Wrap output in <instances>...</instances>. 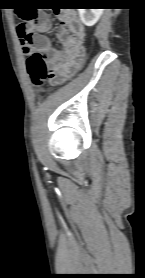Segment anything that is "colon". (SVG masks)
<instances>
[{"label":"colon","mask_w":145,"mask_h":278,"mask_svg":"<svg viewBox=\"0 0 145 278\" xmlns=\"http://www.w3.org/2000/svg\"><path fill=\"white\" fill-rule=\"evenodd\" d=\"M21 17L25 20H32L36 14L31 10H23ZM18 34L24 50L29 53L27 58V72L31 83L34 86H40L46 79L50 78V69L46 63L44 56L37 52H31V48L35 45L33 35L19 26ZM74 74L73 69H67L65 73L58 79H53L54 85H62Z\"/></svg>","instance_id":"1"}]
</instances>
